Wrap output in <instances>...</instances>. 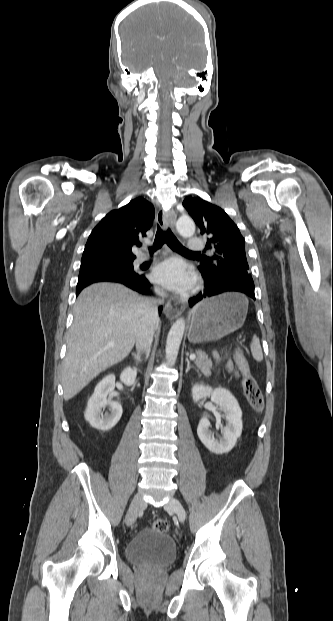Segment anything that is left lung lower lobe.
I'll return each instance as SVG.
<instances>
[{"label":"left lung lower lobe","mask_w":333,"mask_h":621,"mask_svg":"<svg viewBox=\"0 0 333 621\" xmlns=\"http://www.w3.org/2000/svg\"><path fill=\"white\" fill-rule=\"evenodd\" d=\"M205 289L197 296L190 298V307L204 298L219 295L223 292H241L255 300L254 282L251 276L230 275L219 280H213L209 273H202Z\"/></svg>","instance_id":"1"}]
</instances>
